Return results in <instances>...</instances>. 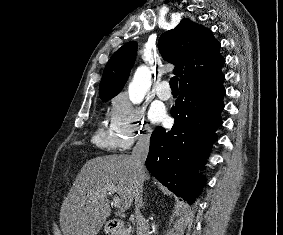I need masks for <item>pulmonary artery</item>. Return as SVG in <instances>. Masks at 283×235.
<instances>
[{
	"label": "pulmonary artery",
	"instance_id": "obj_1",
	"mask_svg": "<svg viewBox=\"0 0 283 235\" xmlns=\"http://www.w3.org/2000/svg\"><path fill=\"white\" fill-rule=\"evenodd\" d=\"M156 95L161 100H169L171 98V90L167 80L161 81L156 87Z\"/></svg>",
	"mask_w": 283,
	"mask_h": 235
}]
</instances>
